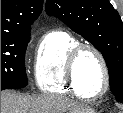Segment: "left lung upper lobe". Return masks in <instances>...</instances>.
I'll return each mask as SVG.
<instances>
[{"label": "left lung upper lobe", "mask_w": 123, "mask_h": 113, "mask_svg": "<svg viewBox=\"0 0 123 113\" xmlns=\"http://www.w3.org/2000/svg\"><path fill=\"white\" fill-rule=\"evenodd\" d=\"M46 12L58 17L103 55L110 89L123 103V22L108 0H47Z\"/></svg>", "instance_id": "5c2ea615"}]
</instances>
